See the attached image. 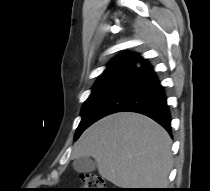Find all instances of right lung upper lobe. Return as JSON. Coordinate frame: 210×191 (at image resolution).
Instances as JSON below:
<instances>
[{
    "mask_svg": "<svg viewBox=\"0 0 210 191\" xmlns=\"http://www.w3.org/2000/svg\"><path fill=\"white\" fill-rule=\"evenodd\" d=\"M122 56H128V57H133L134 55L133 54H125V55H122ZM119 57H121V56H119Z\"/></svg>",
    "mask_w": 210,
    "mask_h": 191,
    "instance_id": "right-lung-upper-lobe-1",
    "label": "right lung upper lobe"
}]
</instances>
